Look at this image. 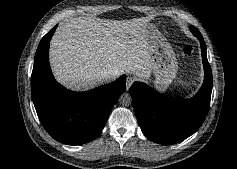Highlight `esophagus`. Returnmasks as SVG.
<instances>
[{
    "instance_id": "obj_1",
    "label": "esophagus",
    "mask_w": 237,
    "mask_h": 169,
    "mask_svg": "<svg viewBox=\"0 0 237 169\" xmlns=\"http://www.w3.org/2000/svg\"><path fill=\"white\" fill-rule=\"evenodd\" d=\"M132 83H133V78L132 77H127V88H129Z\"/></svg>"
}]
</instances>
